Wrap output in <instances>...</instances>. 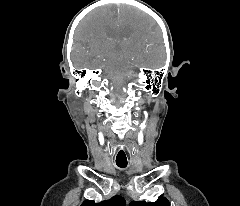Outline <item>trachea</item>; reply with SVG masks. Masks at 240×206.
<instances>
[{
  "label": "trachea",
  "instance_id": "trachea-1",
  "mask_svg": "<svg viewBox=\"0 0 240 206\" xmlns=\"http://www.w3.org/2000/svg\"><path fill=\"white\" fill-rule=\"evenodd\" d=\"M116 164H117L118 167H121V168H124V167L127 166V162H125V163H118V162H116Z\"/></svg>",
  "mask_w": 240,
  "mask_h": 206
}]
</instances>
